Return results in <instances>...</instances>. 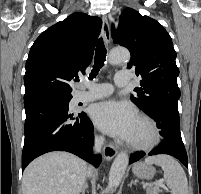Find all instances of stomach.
<instances>
[{"mask_svg": "<svg viewBox=\"0 0 201 194\" xmlns=\"http://www.w3.org/2000/svg\"><path fill=\"white\" fill-rule=\"evenodd\" d=\"M133 173L137 178L150 180L155 175V169L150 165L139 162L133 166Z\"/></svg>", "mask_w": 201, "mask_h": 194, "instance_id": "obj_1", "label": "stomach"}]
</instances>
